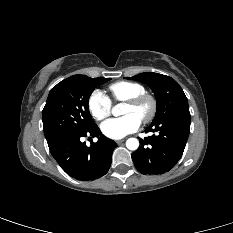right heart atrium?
Wrapping results in <instances>:
<instances>
[{
  "label": "right heart atrium",
  "instance_id": "obj_1",
  "mask_svg": "<svg viewBox=\"0 0 233 233\" xmlns=\"http://www.w3.org/2000/svg\"><path fill=\"white\" fill-rule=\"evenodd\" d=\"M111 101L101 91L95 90L88 99V110L96 120H103L111 113Z\"/></svg>",
  "mask_w": 233,
  "mask_h": 233
}]
</instances>
